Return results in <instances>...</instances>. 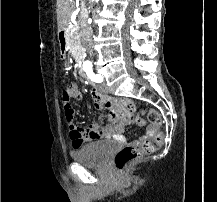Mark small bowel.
<instances>
[{
  "instance_id": "obj_1",
  "label": "small bowel",
  "mask_w": 217,
  "mask_h": 202,
  "mask_svg": "<svg viewBox=\"0 0 217 202\" xmlns=\"http://www.w3.org/2000/svg\"><path fill=\"white\" fill-rule=\"evenodd\" d=\"M90 94L96 109H106V120L108 122L101 128L96 125L87 128L73 126L71 129L72 136H67V141L80 142H71V147H83V144L95 142L103 138H112L120 144L137 146L141 142L154 138L156 129L152 124L151 126H144L146 133L144 137L138 141H128L122 135V121H132L137 116L136 113H134L136 109L134 101H107L109 98L107 94L96 87L90 89ZM70 97L73 99H81L82 97V93L76 84L71 85Z\"/></svg>"
}]
</instances>
